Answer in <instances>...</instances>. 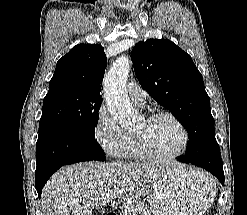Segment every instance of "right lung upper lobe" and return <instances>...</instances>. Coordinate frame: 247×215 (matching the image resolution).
Here are the masks:
<instances>
[{
    "label": "right lung upper lobe",
    "mask_w": 247,
    "mask_h": 215,
    "mask_svg": "<svg viewBox=\"0 0 247 215\" xmlns=\"http://www.w3.org/2000/svg\"><path fill=\"white\" fill-rule=\"evenodd\" d=\"M106 63V55L101 45L74 46L58 60L49 83V92L66 88L83 96L101 99Z\"/></svg>",
    "instance_id": "right-lung-upper-lobe-1"
}]
</instances>
